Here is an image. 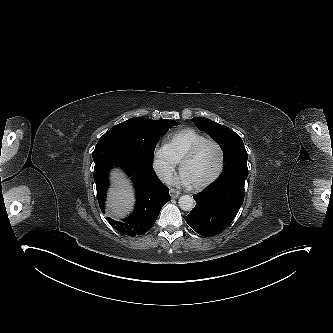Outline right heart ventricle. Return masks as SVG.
I'll list each match as a JSON object with an SVG mask.
<instances>
[{"label": "right heart ventricle", "instance_id": "1", "mask_svg": "<svg viewBox=\"0 0 333 333\" xmlns=\"http://www.w3.org/2000/svg\"><path fill=\"white\" fill-rule=\"evenodd\" d=\"M207 138L203 133L195 129H183L173 134L167 141V148L177 161L198 142Z\"/></svg>", "mask_w": 333, "mask_h": 333}]
</instances>
